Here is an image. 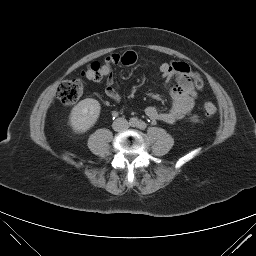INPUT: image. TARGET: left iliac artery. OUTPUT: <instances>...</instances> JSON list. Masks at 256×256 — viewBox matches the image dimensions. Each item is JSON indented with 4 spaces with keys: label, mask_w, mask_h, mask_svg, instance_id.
<instances>
[{
    "label": "left iliac artery",
    "mask_w": 256,
    "mask_h": 256,
    "mask_svg": "<svg viewBox=\"0 0 256 256\" xmlns=\"http://www.w3.org/2000/svg\"><path fill=\"white\" fill-rule=\"evenodd\" d=\"M137 127L141 130H144L147 127V125L145 122L139 121Z\"/></svg>",
    "instance_id": "1"
}]
</instances>
